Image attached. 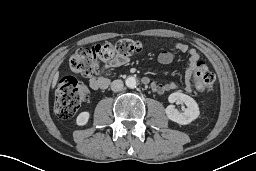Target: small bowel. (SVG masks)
Masks as SVG:
<instances>
[{"mask_svg":"<svg viewBox=\"0 0 256 171\" xmlns=\"http://www.w3.org/2000/svg\"><path fill=\"white\" fill-rule=\"evenodd\" d=\"M172 49L177 52L185 53L189 57V67L186 72L185 82L183 89H190V78L196 63L199 61L200 56L197 50L193 47L188 46L183 42H177L173 45ZM174 60V54L170 50H163L158 55V62L160 64H170ZM128 62L127 57H116L108 61L104 66L100 67L89 79L90 87L94 90L106 89L109 86L110 80L104 76L103 73L109 68L120 67ZM152 89L154 92L163 94L168 91L178 89V85L175 83H153Z\"/></svg>","mask_w":256,"mask_h":171,"instance_id":"c3829d8e","label":"small bowel"}]
</instances>
